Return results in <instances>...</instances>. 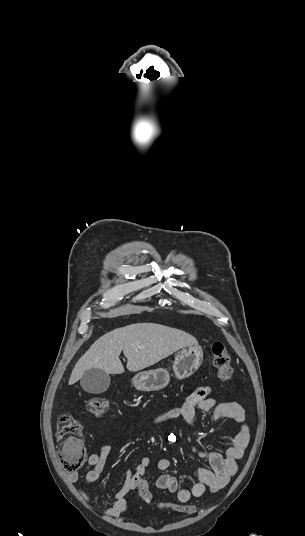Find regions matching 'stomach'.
Masks as SVG:
<instances>
[{
  "instance_id": "0dacf381",
  "label": "stomach",
  "mask_w": 305,
  "mask_h": 536,
  "mask_svg": "<svg viewBox=\"0 0 305 536\" xmlns=\"http://www.w3.org/2000/svg\"><path fill=\"white\" fill-rule=\"evenodd\" d=\"M203 360V350L201 346H185L178 352L173 362V372L178 380H184L192 376L200 368ZM170 382L169 372L158 368V370H148L139 372L132 378V384L140 392H157L166 388Z\"/></svg>"
}]
</instances>
